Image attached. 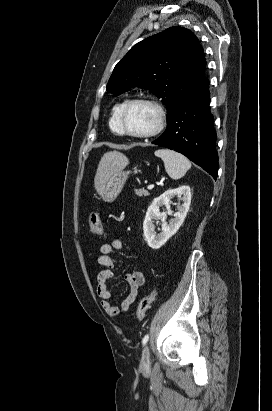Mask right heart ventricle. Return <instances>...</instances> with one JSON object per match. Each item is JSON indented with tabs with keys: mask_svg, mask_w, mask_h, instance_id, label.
Masks as SVG:
<instances>
[{
	"mask_svg": "<svg viewBox=\"0 0 272 411\" xmlns=\"http://www.w3.org/2000/svg\"><path fill=\"white\" fill-rule=\"evenodd\" d=\"M126 101H120L119 103H117L111 111L110 114V118H109V122H108V126L110 128V130L117 134V135H121V130L119 127V123H118V116H119V112L121 110V108L123 107V105L125 104Z\"/></svg>",
	"mask_w": 272,
	"mask_h": 411,
	"instance_id": "obj_1",
	"label": "right heart ventricle"
}]
</instances>
